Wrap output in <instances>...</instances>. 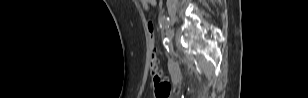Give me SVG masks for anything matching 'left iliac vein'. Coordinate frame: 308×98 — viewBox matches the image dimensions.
I'll use <instances>...</instances> for the list:
<instances>
[{
  "mask_svg": "<svg viewBox=\"0 0 308 98\" xmlns=\"http://www.w3.org/2000/svg\"><path fill=\"white\" fill-rule=\"evenodd\" d=\"M166 35L169 39H172L173 36H174V31L172 28H168L167 31H166Z\"/></svg>",
  "mask_w": 308,
  "mask_h": 98,
  "instance_id": "obj_1",
  "label": "left iliac vein"
}]
</instances>
